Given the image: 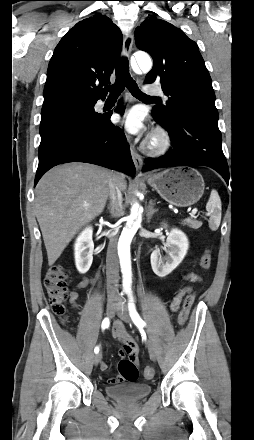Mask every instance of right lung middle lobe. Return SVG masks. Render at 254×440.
Masks as SVG:
<instances>
[{
    "label": "right lung middle lobe",
    "instance_id": "1",
    "mask_svg": "<svg viewBox=\"0 0 254 440\" xmlns=\"http://www.w3.org/2000/svg\"><path fill=\"white\" fill-rule=\"evenodd\" d=\"M93 103L92 99L75 94L58 95L45 100L41 111V140L75 118L95 115Z\"/></svg>",
    "mask_w": 254,
    "mask_h": 440
}]
</instances>
